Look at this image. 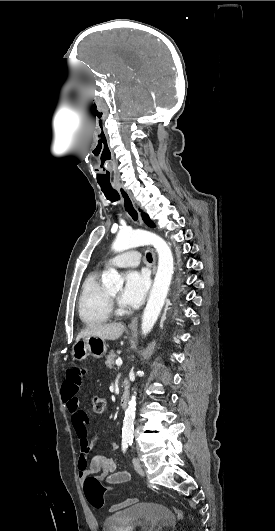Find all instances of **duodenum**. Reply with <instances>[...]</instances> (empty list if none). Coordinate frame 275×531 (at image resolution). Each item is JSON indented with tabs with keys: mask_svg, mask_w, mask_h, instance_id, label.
I'll list each match as a JSON object with an SVG mask.
<instances>
[{
	"mask_svg": "<svg viewBox=\"0 0 275 531\" xmlns=\"http://www.w3.org/2000/svg\"><path fill=\"white\" fill-rule=\"evenodd\" d=\"M130 396H131L130 380L125 379L124 380V393L119 401V407L121 409L125 408L128 405Z\"/></svg>",
	"mask_w": 275,
	"mask_h": 531,
	"instance_id": "obj_1",
	"label": "duodenum"
}]
</instances>
